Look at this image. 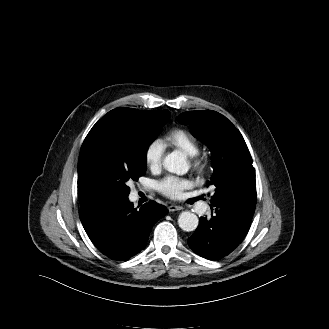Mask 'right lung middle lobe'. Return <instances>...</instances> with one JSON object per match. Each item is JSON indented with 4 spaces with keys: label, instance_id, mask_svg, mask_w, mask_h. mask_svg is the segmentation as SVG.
<instances>
[{
    "label": "right lung middle lobe",
    "instance_id": "right-lung-middle-lobe-1",
    "mask_svg": "<svg viewBox=\"0 0 329 329\" xmlns=\"http://www.w3.org/2000/svg\"><path fill=\"white\" fill-rule=\"evenodd\" d=\"M169 115L157 114L140 124L116 108L94 125L97 136L81 149L78 161L81 206L105 196L128 197V183L145 174L147 149Z\"/></svg>",
    "mask_w": 329,
    "mask_h": 329
}]
</instances>
